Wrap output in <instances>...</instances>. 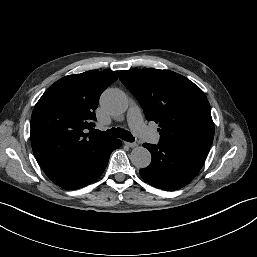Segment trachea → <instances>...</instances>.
Segmentation results:
<instances>
[{
    "instance_id": "obj_1",
    "label": "trachea",
    "mask_w": 257,
    "mask_h": 257,
    "mask_svg": "<svg viewBox=\"0 0 257 257\" xmlns=\"http://www.w3.org/2000/svg\"><path fill=\"white\" fill-rule=\"evenodd\" d=\"M94 134L100 135L103 137H111V138H121L127 142H133L134 137L130 132L121 128H111L105 132L94 130Z\"/></svg>"
}]
</instances>
